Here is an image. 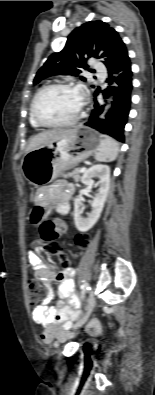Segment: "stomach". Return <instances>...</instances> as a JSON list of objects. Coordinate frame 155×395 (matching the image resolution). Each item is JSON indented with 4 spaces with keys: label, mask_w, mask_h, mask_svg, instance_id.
<instances>
[{
    "label": "stomach",
    "mask_w": 155,
    "mask_h": 395,
    "mask_svg": "<svg viewBox=\"0 0 155 395\" xmlns=\"http://www.w3.org/2000/svg\"><path fill=\"white\" fill-rule=\"evenodd\" d=\"M100 140L101 135L81 125L60 131L51 142L25 154L23 175L34 186L48 184L95 153Z\"/></svg>",
    "instance_id": "1"
}]
</instances>
